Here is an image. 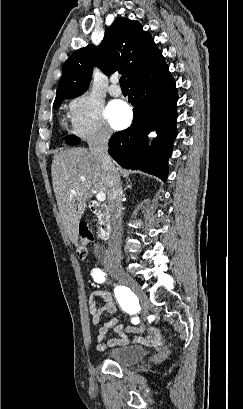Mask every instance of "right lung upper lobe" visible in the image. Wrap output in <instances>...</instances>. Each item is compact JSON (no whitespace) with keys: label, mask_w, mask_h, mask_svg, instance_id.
Instances as JSON below:
<instances>
[{"label":"right lung upper lobe","mask_w":243,"mask_h":409,"mask_svg":"<svg viewBox=\"0 0 243 409\" xmlns=\"http://www.w3.org/2000/svg\"><path fill=\"white\" fill-rule=\"evenodd\" d=\"M95 65L107 75L117 70L125 73L130 85L158 72L166 63L151 34L138 21L117 18L98 47L90 44L65 61L55 102L81 95L89 86Z\"/></svg>","instance_id":"cb5924a9"}]
</instances>
